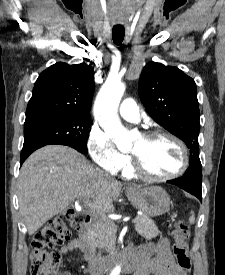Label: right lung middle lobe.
Instances as JSON below:
<instances>
[{"mask_svg":"<svg viewBox=\"0 0 225 275\" xmlns=\"http://www.w3.org/2000/svg\"><path fill=\"white\" fill-rule=\"evenodd\" d=\"M89 115L83 114H38L26 117L24 145L62 144L87 153Z\"/></svg>","mask_w":225,"mask_h":275,"instance_id":"right-lung-middle-lobe-1","label":"right lung middle lobe"}]
</instances>
